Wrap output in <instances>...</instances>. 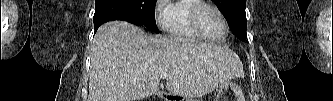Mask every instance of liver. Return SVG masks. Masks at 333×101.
Wrapping results in <instances>:
<instances>
[{"label": "liver", "instance_id": "6515ba94", "mask_svg": "<svg viewBox=\"0 0 333 101\" xmlns=\"http://www.w3.org/2000/svg\"><path fill=\"white\" fill-rule=\"evenodd\" d=\"M170 74L169 92L202 97L242 77L239 57L227 47L182 37L148 35L125 21L103 24L92 46L88 101H137L159 90Z\"/></svg>", "mask_w": 333, "mask_h": 101}]
</instances>
